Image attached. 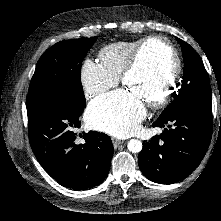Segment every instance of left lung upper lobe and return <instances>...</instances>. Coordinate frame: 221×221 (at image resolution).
I'll return each mask as SVG.
<instances>
[{"label":"left lung upper lobe","instance_id":"1","mask_svg":"<svg viewBox=\"0 0 221 221\" xmlns=\"http://www.w3.org/2000/svg\"><path fill=\"white\" fill-rule=\"evenodd\" d=\"M177 40L184 58L183 80L178 95L161 113V118L174 115L192 105L212 104L209 77L202 59L189 44L179 38Z\"/></svg>","mask_w":221,"mask_h":221}]
</instances>
